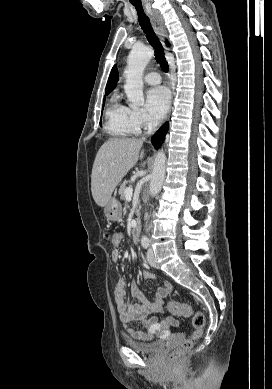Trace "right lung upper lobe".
Wrapping results in <instances>:
<instances>
[{
    "label": "right lung upper lobe",
    "mask_w": 272,
    "mask_h": 389,
    "mask_svg": "<svg viewBox=\"0 0 272 389\" xmlns=\"http://www.w3.org/2000/svg\"><path fill=\"white\" fill-rule=\"evenodd\" d=\"M167 45H169L168 42H166ZM118 71H117V67L114 65L112 70H111V73H110V76H109V79H108V82H107V85H106V89H105V93L108 94L110 92H112L115 88V84L118 82Z\"/></svg>",
    "instance_id": "cb5924a9"
}]
</instances>
